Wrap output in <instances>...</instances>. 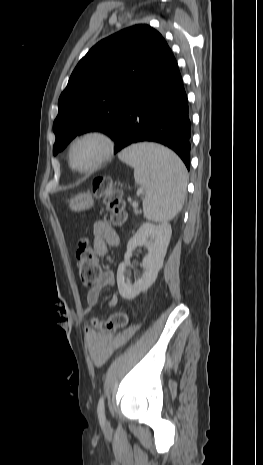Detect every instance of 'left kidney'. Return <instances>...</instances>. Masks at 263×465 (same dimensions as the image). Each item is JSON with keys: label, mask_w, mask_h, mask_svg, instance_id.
Wrapping results in <instances>:
<instances>
[{"label": "left kidney", "mask_w": 263, "mask_h": 465, "mask_svg": "<svg viewBox=\"0 0 263 465\" xmlns=\"http://www.w3.org/2000/svg\"><path fill=\"white\" fill-rule=\"evenodd\" d=\"M171 234V226L168 224L145 223L129 240L124 262L118 266L117 270L118 290L124 299L135 298L140 292L148 290L155 282L158 272L163 266ZM141 245L146 246L149 254L143 259L144 273L142 277L131 284L130 280L125 281V268L127 261L132 256V251Z\"/></svg>", "instance_id": "1"}]
</instances>
